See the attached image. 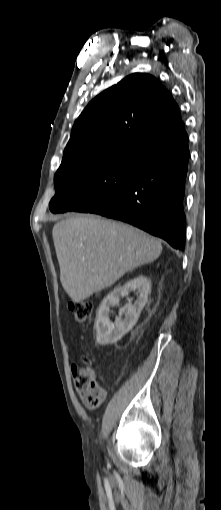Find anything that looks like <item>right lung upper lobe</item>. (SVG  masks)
I'll list each match as a JSON object with an SVG mask.
<instances>
[{"label": "right lung upper lobe", "instance_id": "obj_1", "mask_svg": "<svg viewBox=\"0 0 221 510\" xmlns=\"http://www.w3.org/2000/svg\"><path fill=\"white\" fill-rule=\"evenodd\" d=\"M186 132L179 108L153 76L135 73L95 97L75 121L62 162L122 147H152Z\"/></svg>", "mask_w": 221, "mask_h": 510}]
</instances>
